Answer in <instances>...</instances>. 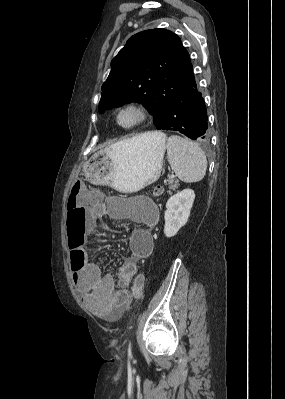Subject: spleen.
<instances>
[{
  "label": "spleen",
  "mask_w": 285,
  "mask_h": 399,
  "mask_svg": "<svg viewBox=\"0 0 285 399\" xmlns=\"http://www.w3.org/2000/svg\"><path fill=\"white\" fill-rule=\"evenodd\" d=\"M167 157L177 177L187 183L200 181L207 169V159L200 146L177 135L167 141Z\"/></svg>",
  "instance_id": "3e777b00"
}]
</instances>
